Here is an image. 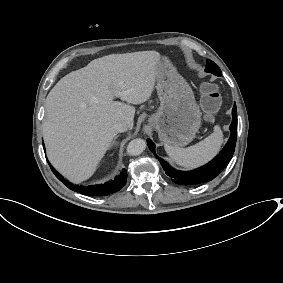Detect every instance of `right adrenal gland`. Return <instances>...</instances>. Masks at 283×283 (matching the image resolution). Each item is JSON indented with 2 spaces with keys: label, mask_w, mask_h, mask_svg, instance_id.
Instances as JSON below:
<instances>
[{
  "label": "right adrenal gland",
  "mask_w": 283,
  "mask_h": 283,
  "mask_svg": "<svg viewBox=\"0 0 283 283\" xmlns=\"http://www.w3.org/2000/svg\"><path fill=\"white\" fill-rule=\"evenodd\" d=\"M119 137V135H116L115 137H114V140L112 141V143H111V145H110V148H112L113 147V145H118V142L116 141V139Z\"/></svg>",
  "instance_id": "1"
}]
</instances>
